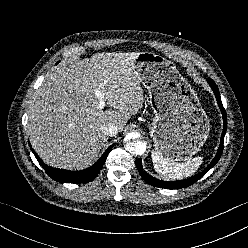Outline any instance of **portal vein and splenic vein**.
Masks as SVG:
<instances>
[{
	"instance_id": "obj_1",
	"label": "portal vein and splenic vein",
	"mask_w": 248,
	"mask_h": 248,
	"mask_svg": "<svg viewBox=\"0 0 248 248\" xmlns=\"http://www.w3.org/2000/svg\"><path fill=\"white\" fill-rule=\"evenodd\" d=\"M96 97L99 98L100 102H99V108L102 109L106 106V99L104 98V94H102L100 91H97L95 93Z\"/></svg>"
}]
</instances>
